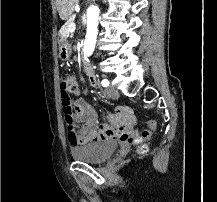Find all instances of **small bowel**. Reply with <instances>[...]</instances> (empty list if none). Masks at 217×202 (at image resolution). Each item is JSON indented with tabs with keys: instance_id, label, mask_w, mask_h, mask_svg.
<instances>
[{
	"instance_id": "small-bowel-1",
	"label": "small bowel",
	"mask_w": 217,
	"mask_h": 202,
	"mask_svg": "<svg viewBox=\"0 0 217 202\" xmlns=\"http://www.w3.org/2000/svg\"><path fill=\"white\" fill-rule=\"evenodd\" d=\"M88 84L91 88H95L96 79H88ZM71 93L78 96L80 90L76 87ZM72 104L74 118L81 124L79 129L75 128L74 131L69 132L68 140L73 147L109 140H119L125 144L139 141L137 131L130 125L127 109L117 108L114 112L106 111L104 114L105 123L100 124L96 110L92 105L82 99L75 100L70 106Z\"/></svg>"
}]
</instances>
